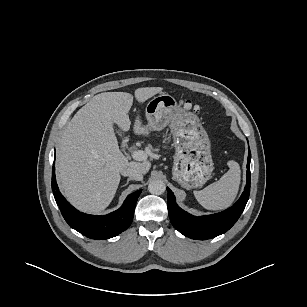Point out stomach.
I'll return each mask as SVG.
<instances>
[{
  "label": "stomach",
  "instance_id": "0dacf381",
  "mask_svg": "<svg viewBox=\"0 0 307 307\" xmlns=\"http://www.w3.org/2000/svg\"><path fill=\"white\" fill-rule=\"evenodd\" d=\"M145 115L146 134L170 126L176 149L173 178L186 189L204 185L214 164L209 137L197 115L179 108L176 100L165 93L148 102Z\"/></svg>",
  "mask_w": 307,
  "mask_h": 307
}]
</instances>
